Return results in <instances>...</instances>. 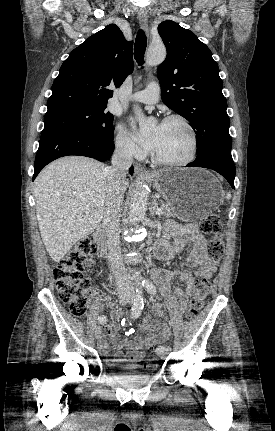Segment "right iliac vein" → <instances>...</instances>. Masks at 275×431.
Masks as SVG:
<instances>
[{"mask_svg": "<svg viewBox=\"0 0 275 431\" xmlns=\"http://www.w3.org/2000/svg\"><path fill=\"white\" fill-rule=\"evenodd\" d=\"M118 299H119V302L121 305H126L127 303H129L133 300V297L131 295H128L126 293L121 292L118 294ZM101 332H102L101 327L98 326L95 329V338L96 339L100 338Z\"/></svg>", "mask_w": 275, "mask_h": 431, "instance_id": "obj_1", "label": "right iliac vein"}]
</instances>
